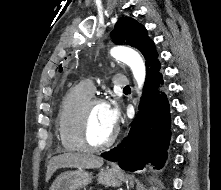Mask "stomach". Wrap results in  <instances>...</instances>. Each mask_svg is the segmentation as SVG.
<instances>
[{"label":"stomach","mask_w":221,"mask_h":190,"mask_svg":"<svg viewBox=\"0 0 221 190\" xmlns=\"http://www.w3.org/2000/svg\"><path fill=\"white\" fill-rule=\"evenodd\" d=\"M92 173L84 169L61 173L52 183L49 190H79L92 182ZM99 183L106 187H118L121 185V177L112 169L102 170L97 175Z\"/></svg>","instance_id":"obj_1"}]
</instances>
